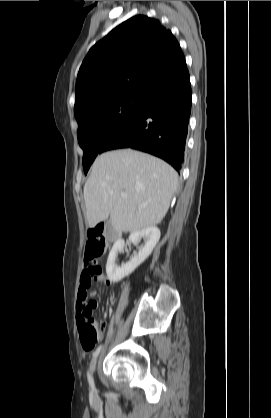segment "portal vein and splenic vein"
<instances>
[{"mask_svg":"<svg viewBox=\"0 0 271 418\" xmlns=\"http://www.w3.org/2000/svg\"><path fill=\"white\" fill-rule=\"evenodd\" d=\"M121 198H122V199H125V198H126V194H124V193H123V194H121Z\"/></svg>","mask_w":271,"mask_h":418,"instance_id":"portal-vein-and-splenic-vein-1","label":"portal vein and splenic vein"}]
</instances>
